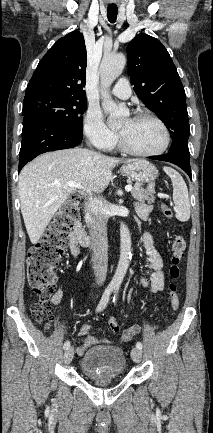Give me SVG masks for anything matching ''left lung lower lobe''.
I'll use <instances>...</instances> for the list:
<instances>
[{
	"instance_id": "left-lung-lower-lobe-1",
	"label": "left lung lower lobe",
	"mask_w": 213,
	"mask_h": 433,
	"mask_svg": "<svg viewBox=\"0 0 213 433\" xmlns=\"http://www.w3.org/2000/svg\"><path fill=\"white\" fill-rule=\"evenodd\" d=\"M149 158L153 159V160L171 162V163L179 166L181 169H183L188 174V176L192 180L189 155H184V154L178 153V152H168L167 154L162 155V156H151Z\"/></svg>"
}]
</instances>
